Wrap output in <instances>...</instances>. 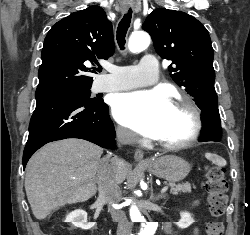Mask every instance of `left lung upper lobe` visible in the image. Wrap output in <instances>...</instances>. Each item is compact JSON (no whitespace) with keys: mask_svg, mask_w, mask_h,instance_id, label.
<instances>
[{"mask_svg":"<svg viewBox=\"0 0 250 235\" xmlns=\"http://www.w3.org/2000/svg\"><path fill=\"white\" fill-rule=\"evenodd\" d=\"M156 52L172 61L171 77L194 97L202 110L218 104L214 88L213 48L207 29L193 16L176 10H154L142 25Z\"/></svg>","mask_w":250,"mask_h":235,"instance_id":"obj_1","label":"left lung upper lobe"}]
</instances>
